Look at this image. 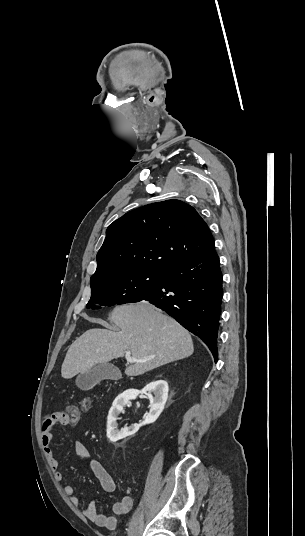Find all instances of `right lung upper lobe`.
I'll return each instance as SVG.
<instances>
[{
  "mask_svg": "<svg viewBox=\"0 0 305 536\" xmlns=\"http://www.w3.org/2000/svg\"><path fill=\"white\" fill-rule=\"evenodd\" d=\"M212 249L211 232L192 206L179 200L149 204L126 213L107 228L90 281L134 271L166 272Z\"/></svg>",
  "mask_w": 305,
  "mask_h": 536,
  "instance_id": "right-lung-upper-lobe-1",
  "label": "right lung upper lobe"
}]
</instances>
